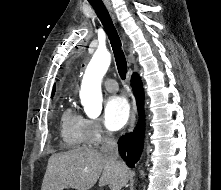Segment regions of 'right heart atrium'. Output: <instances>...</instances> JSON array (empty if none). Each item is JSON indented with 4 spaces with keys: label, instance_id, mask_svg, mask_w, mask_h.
I'll use <instances>...</instances> for the list:
<instances>
[{
    "label": "right heart atrium",
    "instance_id": "1",
    "mask_svg": "<svg viewBox=\"0 0 221 190\" xmlns=\"http://www.w3.org/2000/svg\"><path fill=\"white\" fill-rule=\"evenodd\" d=\"M109 135L98 119L86 118L84 120V142L86 145L96 147L108 139Z\"/></svg>",
    "mask_w": 221,
    "mask_h": 190
}]
</instances>
